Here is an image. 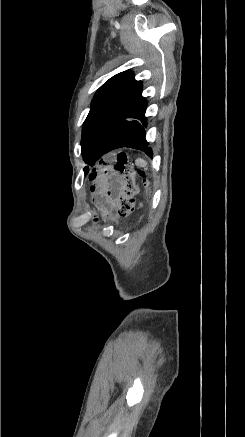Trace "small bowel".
Returning a JSON list of instances; mask_svg holds the SVG:
<instances>
[{"label":"small bowel","instance_id":"small-bowel-1","mask_svg":"<svg viewBox=\"0 0 245 437\" xmlns=\"http://www.w3.org/2000/svg\"><path fill=\"white\" fill-rule=\"evenodd\" d=\"M113 162L107 156L104 159H100L97 166H92L91 171H89V180H106L107 175L111 171ZM91 192H98L100 186L98 183H91L89 186ZM118 192V186L115 184H110L106 192V202L109 208H113L116 205V195Z\"/></svg>","mask_w":245,"mask_h":437}]
</instances>
